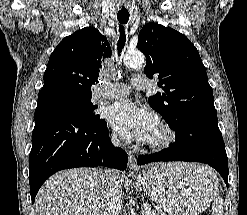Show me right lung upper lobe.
Here are the masks:
<instances>
[{
    "instance_id": "right-lung-upper-lobe-1",
    "label": "right lung upper lobe",
    "mask_w": 247,
    "mask_h": 215,
    "mask_svg": "<svg viewBox=\"0 0 247 215\" xmlns=\"http://www.w3.org/2000/svg\"><path fill=\"white\" fill-rule=\"evenodd\" d=\"M111 56L108 40L97 29L85 27L65 37L51 53L43 89L67 88L91 94L98 82L101 60Z\"/></svg>"
}]
</instances>
